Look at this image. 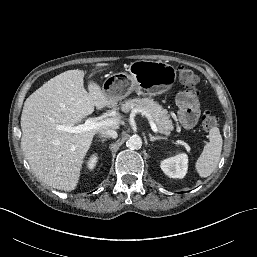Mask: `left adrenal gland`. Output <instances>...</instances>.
<instances>
[{
  "instance_id": "left-adrenal-gland-1",
  "label": "left adrenal gland",
  "mask_w": 257,
  "mask_h": 257,
  "mask_svg": "<svg viewBox=\"0 0 257 257\" xmlns=\"http://www.w3.org/2000/svg\"><path fill=\"white\" fill-rule=\"evenodd\" d=\"M149 138L151 142L157 141V140H166V137H160V136H153L152 134L149 133Z\"/></svg>"
}]
</instances>
